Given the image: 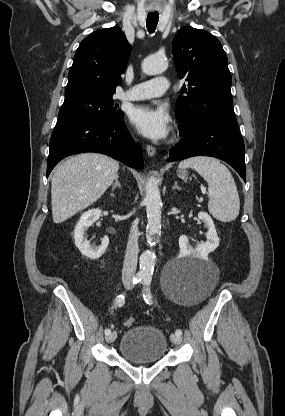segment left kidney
Listing matches in <instances>:
<instances>
[{
	"mask_svg": "<svg viewBox=\"0 0 285 416\" xmlns=\"http://www.w3.org/2000/svg\"><path fill=\"white\" fill-rule=\"evenodd\" d=\"M198 218L199 220H202V222H205L208 228V232L206 234L207 242H204V244H199V246H196V248H192V246L189 244L187 236H180L179 248L181 252H185V254H189V256H199V258H206L210 252H214V250L218 248L219 238L217 236L213 220L210 218L209 214H206V212H199Z\"/></svg>",
	"mask_w": 285,
	"mask_h": 416,
	"instance_id": "obj_1",
	"label": "left kidney"
}]
</instances>
